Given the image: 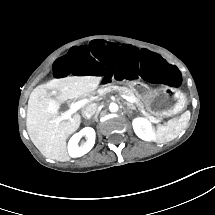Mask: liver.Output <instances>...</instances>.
Instances as JSON below:
<instances>
[{
    "mask_svg": "<svg viewBox=\"0 0 215 215\" xmlns=\"http://www.w3.org/2000/svg\"><path fill=\"white\" fill-rule=\"evenodd\" d=\"M98 80V76L91 75L67 76L33 89L28 100L26 126L30 139L44 156L62 162L69 160L65 140L78 129L81 117L74 114L60 123L52 120L62 102L92 92ZM46 89L57 91L56 98H50Z\"/></svg>",
    "mask_w": 215,
    "mask_h": 215,
    "instance_id": "6515ba94",
    "label": "liver"
}]
</instances>
